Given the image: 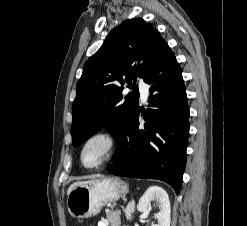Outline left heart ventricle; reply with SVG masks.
Returning a JSON list of instances; mask_svg holds the SVG:
<instances>
[{
  "mask_svg": "<svg viewBox=\"0 0 247 226\" xmlns=\"http://www.w3.org/2000/svg\"><path fill=\"white\" fill-rule=\"evenodd\" d=\"M104 151V143L96 140L88 145L84 153V161L86 164L95 163Z\"/></svg>",
  "mask_w": 247,
  "mask_h": 226,
  "instance_id": "left-heart-ventricle-1",
  "label": "left heart ventricle"
}]
</instances>
